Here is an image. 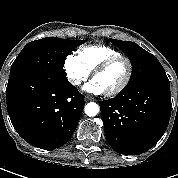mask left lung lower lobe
Masks as SVG:
<instances>
[{"label": "left lung lower lobe", "mask_w": 178, "mask_h": 178, "mask_svg": "<svg viewBox=\"0 0 178 178\" xmlns=\"http://www.w3.org/2000/svg\"><path fill=\"white\" fill-rule=\"evenodd\" d=\"M105 135L118 153L138 155L163 136L171 116L170 82L125 87L116 98L99 102Z\"/></svg>", "instance_id": "left-lung-lower-lobe-1"}]
</instances>
